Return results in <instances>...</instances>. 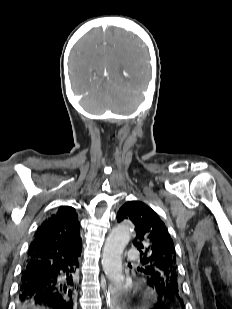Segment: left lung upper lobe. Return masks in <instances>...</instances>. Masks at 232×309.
I'll return each mask as SVG.
<instances>
[{"label": "left lung upper lobe", "instance_id": "5c2ea615", "mask_svg": "<svg viewBox=\"0 0 232 309\" xmlns=\"http://www.w3.org/2000/svg\"><path fill=\"white\" fill-rule=\"evenodd\" d=\"M123 220H130L135 226L133 244L140 251L142 264L138 271L164 301L183 305L175 246L164 222L141 201L126 202L119 209L117 221Z\"/></svg>", "mask_w": 232, "mask_h": 309}]
</instances>
